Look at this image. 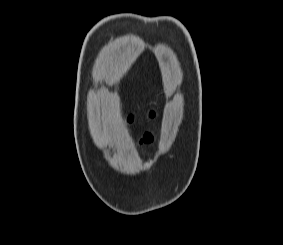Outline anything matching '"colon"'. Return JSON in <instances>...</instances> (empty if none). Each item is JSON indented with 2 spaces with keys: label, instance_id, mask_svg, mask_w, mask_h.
Wrapping results in <instances>:
<instances>
[{
  "label": "colon",
  "instance_id": "1",
  "mask_svg": "<svg viewBox=\"0 0 283 245\" xmlns=\"http://www.w3.org/2000/svg\"><path fill=\"white\" fill-rule=\"evenodd\" d=\"M153 115H154V113L151 112V113H150V117H153ZM127 121H128V123H131V122L133 121V117H132V116H129V117L127 118ZM151 140H152V135H151L150 133H145V134L143 135V141L148 142V141H151Z\"/></svg>",
  "mask_w": 283,
  "mask_h": 245
}]
</instances>
